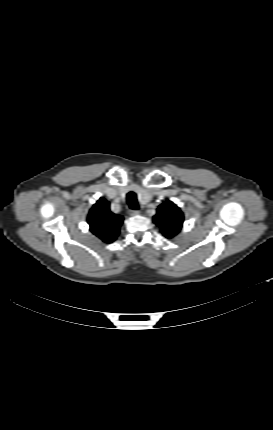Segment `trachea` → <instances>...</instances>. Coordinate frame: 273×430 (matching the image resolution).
Instances as JSON below:
<instances>
[{
	"instance_id": "trachea-1",
	"label": "trachea",
	"mask_w": 273,
	"mask_h": 430,
	"mask_svg": "<svg viewBox=\"0 0 273 430\" xmlns=\"http://www.w3.org/2000/svg\"><path fill=\"white\" fill-rule=\"evenodd\" d=\"M127 202H128L130 209H132V210L138 209L137 197H136V194L134 192H129L127 194Z\"/></svg>"
}]
</instances>
